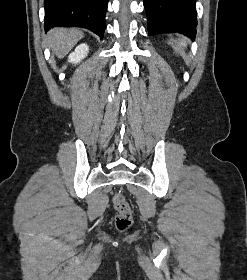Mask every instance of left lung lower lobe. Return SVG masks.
Listing matches in <instances>:
<instances>
[{"label":"left lung lower lobe","mask_w":247,"mask_h":280,"mask_svg":"<svg viewBox=\"0 0 247 280\" xmlns=\"http://www.w3.org/2000/svg\"><path fill=\"white\" fill-rule=\"evenodd\" d=\"M196 0H144L149 36L178 32L195 39Z\"/></svg>","instance_id":"1"}]
</instances>
